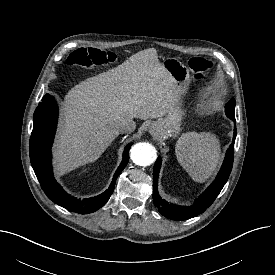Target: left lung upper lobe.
<instances>
[{"label":"left lung upper lobe","instance_id":"1","mask_svg":"<svg viewBox=\"0 0 275 275\" xmlns=\"http://www.w3.org/2000/svg\"><path fill=\"white\" fill-rule=\"evenodd\" d=\"M235 100L231 99L226 105H225V113L230 119H235Z\"/></svg>","mask_w":275,"mask_h":275}]
</instances>
